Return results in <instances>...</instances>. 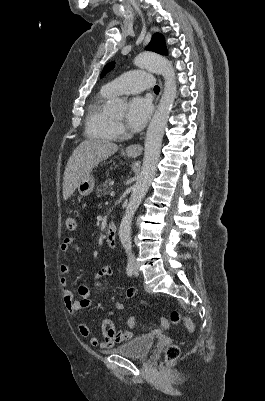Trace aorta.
<instances>
[{"mask_svg":"<svg viewBox=\"0 0 265 401\" xmlns=\"http://www.w3.org/2000/svg\"><path fill=\"white\" fill-rule=\"evenodd\" d=\"M134 64L140 66V68H149L152 72H159V74H162L165 82L161 100L147 128L141 172L138 174L136 184L132 186L129 203L119 227V239L128 255H130L132 247L131 225L133 217L156 174L164 130L167 126L177 90L175 70L168 58H164L161 54H155V52H143V54L136 56Z\"/></svg>","mask_w":265,"mask_h":401,"instance_id":"aorta-1","label":"aorta"}]
</instances>
